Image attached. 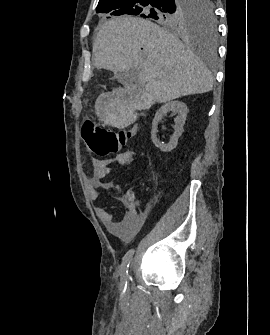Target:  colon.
Returning a JSON list of instances; mask_svg holds the SVG:
<instances>
[{"instance_id": "5ec220e1", "label": "colon", "mask_w": 270, "mask_h": 335, "mask_svg": "<svg viewBox=\"0 0 270 335\" xmlns=\"http://www.w3.org/2000/svg\"><path fill=\"white\" fill-rule=\"evenodd\" d=\"M83 136L91 154L103 158L117 153L134 136V132L131 129L110 131L88 120L83 126Z\"/></svg>"}]
</instances>
